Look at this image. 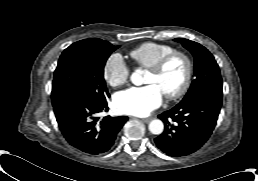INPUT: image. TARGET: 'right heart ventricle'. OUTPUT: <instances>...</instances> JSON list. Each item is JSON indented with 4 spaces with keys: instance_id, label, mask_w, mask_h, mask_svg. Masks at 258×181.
Wrapping results in <instances>:
<instances>
[{
    "instance_id": "obj_1",
    "label": "right heart ventricle",
    "mask_w": 258,
    "mask_h": 181,
    "mask_svg": "<svg viewBox=\"0 0 258 181\" xmlns=\"http://www.w3.org/2000/svg\"><path fill=\"white\" fill-rule=\"evenodd\" d=\"M175 49L164 43L144 42L129 52L134 62L143 68H149L154 65L160 58Z\"/></svg>"
}]
</instances>
